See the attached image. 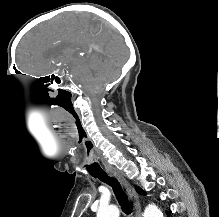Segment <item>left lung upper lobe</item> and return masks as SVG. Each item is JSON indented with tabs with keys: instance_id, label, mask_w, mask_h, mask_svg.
Masks as SVG:
<instances>
[{
	"instance_id": "5c2ea615",
	"label": "left lung upper lobe",
	"mask_w": 219,
	"mask_h": 217,
	"mask_svg": "<svg viewBox=\"0 0 219 217\" xmlns=\"http://www.w3.org/2000/svg\"><path fill=\"white\" fill-rule=\"evenodd\" d=\"M137 192L140 194H144V192L140 188H136Z\"/></svg>"
}]
</instances>
